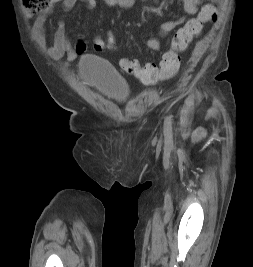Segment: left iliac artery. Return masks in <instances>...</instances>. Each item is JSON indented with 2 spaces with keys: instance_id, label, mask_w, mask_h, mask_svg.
<instances>
[{
  "instance_id": "1",
  "label": "left iliac artery",
  "mask_w": 253,
  "mask_h": 267,
  "mask_svg": "<svg viewBox=\"0 0 253 267\" xmlns=\"http://www.w3.org/2000/svg\"><path fill=\"white\" fill-rule=\"evenodd\" d=\"M164 132L167 139H170L172 136V122L170 117H166L164 121Z\"/></svg>"
}]
</instances>
